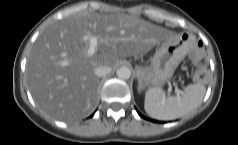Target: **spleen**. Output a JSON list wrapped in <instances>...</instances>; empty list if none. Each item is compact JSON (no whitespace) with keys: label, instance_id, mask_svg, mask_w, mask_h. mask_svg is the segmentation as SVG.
Masks as SVG:
<instances>
[{"label":"spleen","instance_id":"spleen-1","mask_svg":"<svg viewBox=\"0 0 238 145\" xmlns=\"http://www.w3.org/2000/svg\"><path fill=\"white\" fill-rule=\"evenodd\" d=\"M205 93L202 84H189L185 92L176 96H165L160 88H151L145 95L144 109L154 119L173 120L196 109Z\"/></svg>","mask_w":238,"mask_h":145}]
</instances>
